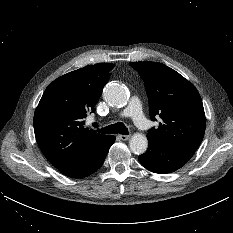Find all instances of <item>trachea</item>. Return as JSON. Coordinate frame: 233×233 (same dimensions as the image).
Listing matches in <instances>:
<instances>
[{"label":"trachea","mask_w":233,"mask_h":233,"mask_svg":"<svg viewBox=\"0 0 233 233\" xmlns=\"http://www.w3.org/2000/svg\"><path fill=\"white\" fill-rule=\"evenodd\" d=\"M100 133L103 134H122L128 135V129L122 122H117L115 124L109 125L99 130Z\"/></svg>","instance_id":"trachea-1"}]
</instances>
